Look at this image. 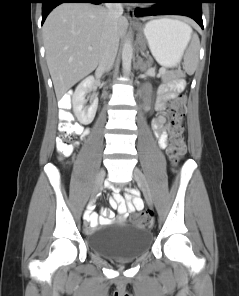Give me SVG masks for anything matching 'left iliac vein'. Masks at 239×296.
Listing matches in <instances>:
<instances>
[{
  "mask_svg": "<svg viewBox=\"0 0 239 296\" xmlns=\"http://www.w3.org/2000/svg\"><path fill=\"white\" fill-rule=\"evenodd\" d=\"M133 178L135 179V181L137 182V184L139 185L140 189L143 192L144 198L146 200V203L152 207L153 205V200H152V196H151V192L147 183V180L144 176V174L142 173V171L138 168H135L133 170Z\"/></svg>",
  "mask_w": 239,
  "mask_h": 296,
  "instance_id": "left-iliac-vein-1",
  "label": "left iliac vein"
}]
</instances>
